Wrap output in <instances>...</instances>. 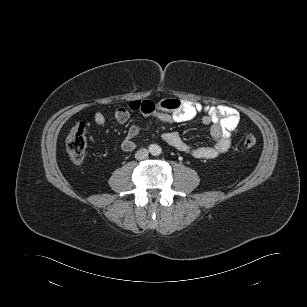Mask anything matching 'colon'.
Wrapping results in <instances>:
<instances>
[{"label":"colon","instance_id":"obj_1","mask_svg":"<svg viewBox=\"0 0 307 307\" xmlns=\"http://www.w3.org/2000/svg\"><path fill=\"white\" fill-rule=\"evenodd\" d=\"M86 128L83 123L77 124L72 128L66 140L67 152L73 163L79 164L83 161L86 150ZM256 144V138L253 135H246L243 139V146L251 149Z\"/></svg>","mask_w":307,"mask_h":307}]
</instances>
